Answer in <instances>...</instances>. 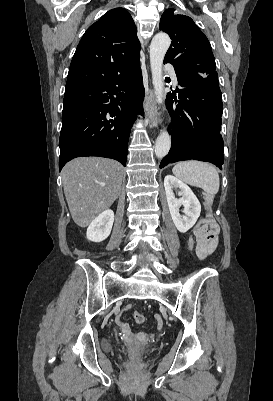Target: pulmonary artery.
Returning a JSON list of instances; mask_svg holds the SVG:
<instances>
[{
    "mask_svg": "<svg viewBox=\"0 0 273 401\" xmlns=\"http://www.w3.org/2000/svg\"><path fill=\"white\" fill-rule=\"evenodd\" d=\"M166 63H167L166 66H165L166 71L167 72H174L175 69H176L175 64L174 63H169V60H166ZM170 77H171V80H172L173 84L176 85L177 84V77L176 76H170Z\"/></svg>",
    "mask_w": 273,
    "mask_h": 401,
    "instance_id": "e3ab8cb5",
    "label": "pulmonary artery"
}]
</instances>
